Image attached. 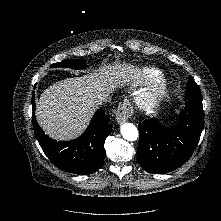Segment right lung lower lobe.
Returning <instances> with one entry per match:
<instances>
[{"instance_id":"right-lung-lower-lobe-1","label":"right lung lower lobe","mask_w":221,"mask_h":221,"mask_svg":"<svg viewBox=\"0 0 221 221\" xmlns=\"http://www.w3.org/2000/svg\"><path fill=\"white\" fill-rule=\"evenodd\" d=\"M35 110V95H32ZM110 119L98 109L87 130L72 141L49 138L38 126L35 115L32 123L35 136L49 160L63 171L74 174H91L101 167L105 158L104 142L112 130Z\"/></svg>"}]
</instances>
